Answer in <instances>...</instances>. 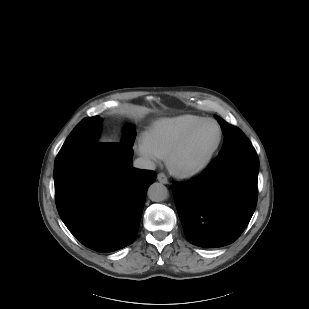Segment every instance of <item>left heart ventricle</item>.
Masks as SVG:
<instances>
[{
  "mask_svg": "<svg viewBox=\"0 0 309 309\" xmlns=\"http://www.w3.org/2000/svg\"><path fill=\"white\" fill-rule=\"evenodd\" d=\"M218 137V129L212 123L202 126L183 148L179 161L185 166H194L208 154Z\"/></svg>",
  "mask_w": 309,
  "mask_h": 309,
  "instance_id": "1",
  "label": "left heart ventricle"
}]
</instances>
